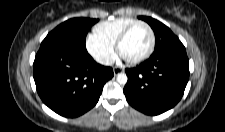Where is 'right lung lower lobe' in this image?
<instances>
[{"instance_id":"98d812e1","label":"right lung lower lobe","mask_w":225,"mask_h":132,"mask_svg":"<svg viewBox=\"0 0 225 132\" xmlns=\"http://www.w3.org/2000/svg\"><path fill=\"white\" fill-rule=\"evenodd\" d=\"M33 70L40 98L64 117L80 116L95 106L113 77L112 68L96 63L87 51L56 46H40Z\"/></svg>"}]
</instances>
